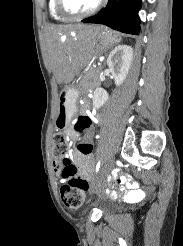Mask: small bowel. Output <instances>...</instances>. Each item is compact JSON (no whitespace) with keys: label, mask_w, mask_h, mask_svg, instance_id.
<instances>
[{"label":"small bowel","mask_w":183,"mask_h":246,"mask_svg":"<svg viewBox=\"0 0 183 246\" xmlns=\"http://www.w3.org/2000/svg\"><path fill=\"white\" fill-rule=\"evenodd\" d=\"M67 134L73 139L77 137V132L72 128L67 130ZM83 142L91 143V138H84ZM73 160L79 169L80 175L86 179L90 178L94 157H85V155H81V152L75 150ZM112 174H117V178H109V186L106 187L108 198H118V193H126L125 196L129 199H138L143 196V191L135 183L127 181V179L132 178L131 174H121V169H112ZM109 191H116L117 193Z\"/></svg>","instance_id":"small-bowel-1"}]
</instances>
